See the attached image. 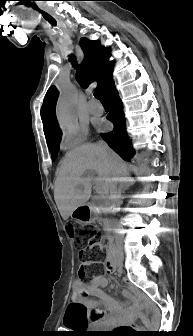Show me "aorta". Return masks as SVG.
I'll list each match as a JSON object with an SVG mask.
<instances>
[{
  "label": "aorta",
  "mask_w": 193,
  "mask_h": 336,
  "mask_svg": "<svg viewBox=\"0 0 193 336\" xmlns=\"http://www.w3.org/2000/svg\"><path fill=\"white\" fill-rule=\"evenodd\" d=\"M76 89L72 84L61 87L56 107V116L63 130H74L78 126L76 114Z\"/></svg>",
  "instance_id": "762f6f07"
}]
</instances>
